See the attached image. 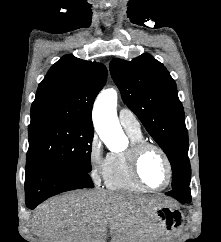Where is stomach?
<instances>
[{
    "label": "stomach",
    "instance_id": "1",
    "mask_svg": "<svg viewBox=\"0 0 221 242\" xmlns=\"http://www.w3.org/2000/svg\"><path fill=\"white\" fill-rule=\"evenodd\" d=\"M166 210H169V211L172 210V206L169 205V204L158 206L155 209V213H156L157 219L161 220L163 217H166V214L164 212Z\"/></svg>",
    "mask_w": 221,
    "mask_h": 242
}]
</instances>
